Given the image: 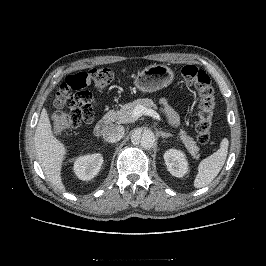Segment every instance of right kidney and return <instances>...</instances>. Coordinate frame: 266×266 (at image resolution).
Wrapping results in <instances>:
<instances>
[{"mask_svg":"<svg viewBox=\"0 0 266 266\" xmlns=\"http://www.w3.org/2000/svg\"><path fill=\"white\" fill-rule=\"evenodd\" d=\"M103 157L99 153L78 157L74 162V172L81 180H90L100 171Z\"/></svg>","mask_w":266,"mask_h":266,"instance_id":"right-kidney-1","label":"right kidney"}]
</instances>
